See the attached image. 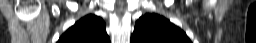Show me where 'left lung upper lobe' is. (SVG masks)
Returning <instances> with one entry per match:
<instances>
[{
    "instance_id": "5c2ea615",
    "label": "left lung upper lobe",
    "mask_w": 256,
    "mask_h": 43,
    "mask_svg": "<svg viewBox=\"0 0 256 43\" xmlns=\"http://www.w3.org/2000/svg\"><path fill=\"white\" fill-rule=\"evenodd\" d=\"M131 43H191L187 35L158 14H145L135 23Z\"/></svg>"
}]
</instances>
